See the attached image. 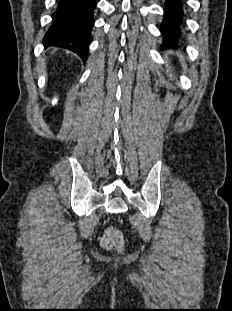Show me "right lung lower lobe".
I'll list each match as a JSON object with an SVG mask.
<instances>
[{
	"instance_id": "right-lung-lower-lobe-1",
	"label": "right lung lower lobe",
	"mask_w": 232,
	"mask_h": 311,
	"mask_svg": "<svg viewBox=\"0 0 232 311\" xmlns=\"http://www.w3.org/2000/svg\"><path fill=\"white\" fill-rule=\"evenodd\" d=\"M96 5V0H59L53 24L43 38L44 43L71 50L85 61Z\"/></svg>"
}]
</instances>
